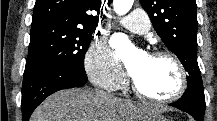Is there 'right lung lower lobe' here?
Masks as SVG:
<instances>
[{
  "instance_id": "obj_1",
  "label": "right lung lower lobe",
  "mask_w": 217,
  "mask_h": 121,
  "mask_svg": "<svg viewBox=\"0 0 217 121\" xmlns=\"http://www.w3.org/2000/svg\"><path fill=\"white\" fill-rule=\"evenodd\" d=\"M86 82L85 72L65 66H47L24 72L21 101L23 121H28L34 109L52 93L81 87Z\"/></svg>"
}]
</instances>
